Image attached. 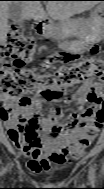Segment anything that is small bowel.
I'll return each mask as SVG.
<instances>
[{
    "label": "small bowel",
    "mask_w": 104,
    "mask_h": 189,
    "mask_svg": "<svg viewBox=\"0 0 104 189\" xmlns=\"http://www.w3.org/2000/svg\"><path fill=\"white\" fill-rule=\"evenodd\" d=\"M73 99L79 110L63 122L60 109L39 114L40 99L27 105L4 100L0 117L8 137L27 158V168L34 172L50 170L79 157L94 140L104 122V105L99 87L84 83ZM60 100V98L55 99Z\"/></svg>",
    "instance_id": "c3829d8e"
}]
</instances>
